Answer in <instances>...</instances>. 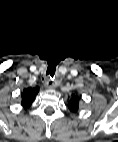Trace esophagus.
Masks as SVG:
<instances>
[{
    "label": "esophagus",
    "instance_id": "obj_1",
    "mask_svg": "<svg viewBox=\"0 0 118 142\" xmlns=\"http://www.w3.org/2000/svg\"><path fill=\"white\" fill-rule=\"evenodd\" d=\"M56 85H57L56 81H54V80L51 79V78H48V79L46 80V82H45V86H46L47 88H55Z\"/></svg>",
    "mask_w": 118,
    "mask_h": 142
}]
</instances>
